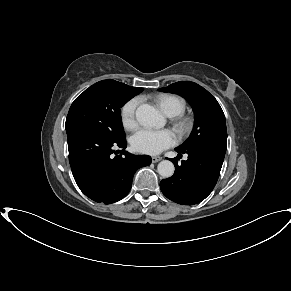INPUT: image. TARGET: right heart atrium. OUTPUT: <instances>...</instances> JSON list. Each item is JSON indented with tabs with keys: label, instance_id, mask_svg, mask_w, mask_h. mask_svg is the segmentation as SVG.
<instances>
[{
	"label": "right heart atrium",
	"instance_id": "obj_1",
	"mask_svg": "<svg viewBox=\"0 0 291 291\" xmlns=\"http://www.w3.org/2000/svg\"><path fill=\"white\" fill-rule=\"evenodd\" d=\"M139 104L137 98H132L127 101L120 110V118L122 125L127 130H132L137 125L136 111Z\"/></svg>",
	"mask_w": 291,
	"mask_h": 291
}]
</instances>
